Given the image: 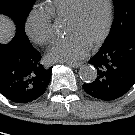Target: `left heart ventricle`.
<instances>
[{"label": "left heart ventricle", "instance_id": "obj_1", "mask_svg": "<svg viewBox=\"0 0 135 135\" xmlns=\"http://www.w3.org/2000/svg\"><path fill=\"white\" fill-rule=\"evenodd\" d=\"M106 18V0H84L78 16L74 20H65V33L76 35L90 45L102 33Z\"/></svg>", "mask_w": 135, "mask_h": 135}]
</instances>
